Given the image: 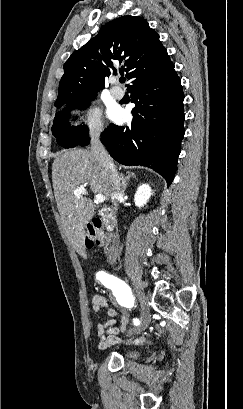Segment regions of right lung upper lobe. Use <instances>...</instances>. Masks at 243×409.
<instances>
[{"instance_id": "1", "label": "right lung upper lobe", "mask_w": 243, "mask_h": 409, "mask_svg": "<svg viewBox=\"0 0 243 409\" xmlns=\"http://www.w3.org/2000/svg\"><path fill=\"white\" fill-rule=\"evenodd\" d=\"M125 71L128 89L173 66L159 35L138 16H121L107 23L64 64L55 105L93 98L104 87L105 78Z\"/></svg>"}]
</instances>
